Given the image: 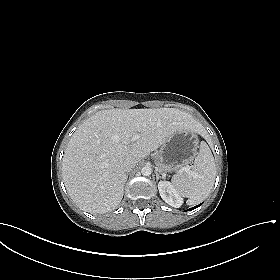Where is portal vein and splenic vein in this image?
Masks as SVG:
<instances>
[{
  "instance_id": "1",
  "label": "portal vein and splenic vein",
  "mask_w": 280,
  "mask_h": 280,
  "mask_svg": "<svg viewBox=\"0 0 280 280\" xmlns=\"http://www.w3.org/2000/svg\"><path fill=\"white\" fill-rule=\"evenodd\" d=\"M138 138H139V136H138V135H135V136L132 137V141H135V140H137ZM188 169H189L188 167H184V168H183L184 171H188Z\"/></svg>"
}]
</instances>
